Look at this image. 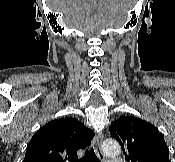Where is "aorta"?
Instances as JSON below:
<instances>
[{
    "mask_svg": "<svg viewBox=\"0 0 175 162\" xmlns=\"http://www.w3.org/2000/svg\"><path fill=\"white\" fill-rule=\"evenodd\" d=\"M102 150L106 156L116 157L120 154L121 147L117 141L112 140V139H108V140L104 141V143L102 145Z\"/></svg>",
    "mask_w": 175,
    "mask_h": 162,
    "instance_id": "aorta-1",
    "label": "aorta"
}]
</instances>
